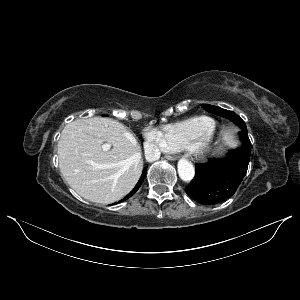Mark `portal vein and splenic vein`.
Instances as JSON below:
<instances>
[{
	"label": "portal vein and splenic vein",
	"mask_w": 300,
	"mask_h": 300,
	"mask_svg": "<svg viewBox=\"0 0 300 300\" xmlns=\"http://www.w3.org/2000/svg\"><path fill=\"white\" fill-rule=\"evenodd\" d=\"M109 149H110L109 144H104V145H103V150H104V151H107V150H109Z\"/></svg>",
	"instance_id": "portal-vein-and-splenic-vein-1"
}]
</instances>
